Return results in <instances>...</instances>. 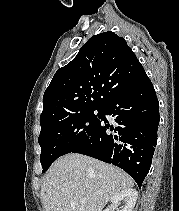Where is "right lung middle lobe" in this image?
Here are the masks:
<instances>
[{"label": "right lung middle lobe", "mask_w": 179, "mask_h": 211, "mask_svg": "<svg viewBox=\"0 0 179 211\" xmlns=\"http://www.w3.org/2000/svg\"><path fill=\"white\" fill-rule=\"evenodd\" d=\"M104 108H92L59 117L41 128L40 162L45 172L60 156L87 142L103 118Z\"/></svg>", "instance_id": "obj_1"}]
</instances>
